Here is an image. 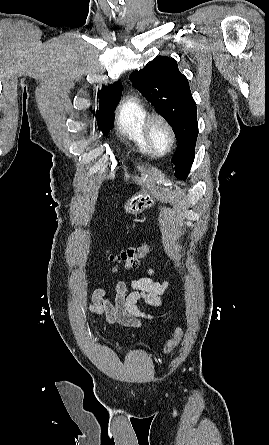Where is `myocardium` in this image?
I'll list each match as a JSON object with an SVG mask.
<instances>
[{
  "label": "myocardium",
  "mask_w": 269,
  "mask_h": 445,
  "mask_svg": "<svg viewBox=\"0 0 269 445\" xmlns=\"http://www.w3.org/2000/svg\"><path fill=\"white\" fill-rule=\"evenodd\" d=\"M155 124H161L169 135V146L163 152L157 149L152 140V129ZM144 138L151 152L157 157H164L168 155L174 149L176 144V133L174 127L172 126L171 122L161 114H153L146 119L144 124Z\"/></svg>",
  "instance_id": "1"
}]
</instances>
